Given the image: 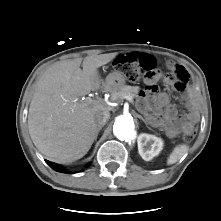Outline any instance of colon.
I'll return each mask as SVG.
<instances>
[{
    "label": "colon",
    "mask_w": 221,
    "mask_h": 221,
    "mask_svg": "<svg viewBox=\"0 0 221 221\" xmlns=\"http://www.w3.org/2000/svg\"><path fill=\"white\" fill-rule=\"evenodd\" d=\"M156 59L150 55L142 54L132 58L129 54L118 56L115 66L129 81L137 82L141 79L153 81L158 77L156 70ZM164 80L176 91H184L187 88L188 81L176 78L172 73L166 74ZM196 135L194 126L188 127L183 132V139L191 141Z\"/></svg>",
    "instance_id": "obj_1"
}]
</instances>
